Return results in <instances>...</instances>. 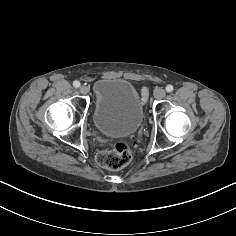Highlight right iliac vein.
Returning <instances> with one entry per match:
<instances>
[{
	"label": "right iliac vein",
	"mask_w": 236,
	"mask_h": 236,
	"mask_svg": "<svg viewBox=\"0 0 236 236\" xmlns=\"http://www.w3.org/2000/svg\"><path fill=\"white\" fill-rule=\"evenodd\" d=\"M79 92L81 93V94H83V95H86L88 92H89V89H88V87L87 86H81L80 88H79Z\"/></svg>",
	"instance_id": "right-iliac-vein-1"
}]
</instances>
